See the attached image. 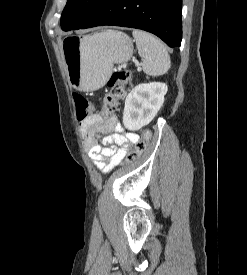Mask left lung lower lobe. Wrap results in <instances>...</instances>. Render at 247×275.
<instances>
[{"label":"left lung lower lobe","mask_w":247,"mask_h":275,"mask_svg":"<svg viewBox=\"0 0 247 275\" xmlns=\"http://www.w3.org/2000/svg\"><path fill=\"white\" fill-rule=\"evenodd\" d=\"M181 8L182 0H104L77 29L102 25L137 28L155 34L170 47H180Z\"/></svg>","instance_id":"1"}]
</instances>
